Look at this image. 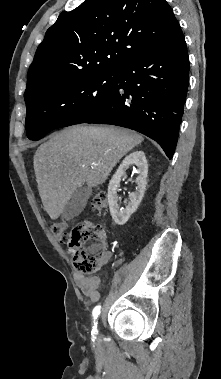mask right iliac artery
Listing matches in <instances>:
<instances>
[{"instance_id": "obj_1", "label": "right iliac artery", "mask_w": 221, "mask_h": 379, "mask_svg": "<svg viewBox=\"0 0 221 379\" xmlns=\"http://www.w3.org/2000/svg\"><path fill=\"white\" fill-rule=\"evenodd\" d=\"M100 311H101V306L100 305H97L93 311H92V316L94 319H97V317L99 316L100 314ZM96 327H97V323H94V328L95 330L92 331V333H95L97 330H96Z\"/></svg>"}]
</instances>
